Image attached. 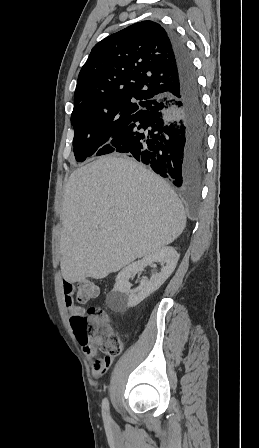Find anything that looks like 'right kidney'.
I'll return each instance as SVG.
<instances>
[{
	"instance_id": "ca27d5eb",
	"label": "right kidney",
	"mask_w": 259,
	"mask_h": 448,
	"mask_svg": "<svg viewBox=\"0 0 259 448\" xmlns=\"http://www.w3.org/2000/svg\"><path fill=\"white\" fill-rule=\"evenodd\" d=\"M178 260L179 254L175 248L165 246V248L156 250L154 254H148L143 260H138V262H133V264L123 268L116 278L113 290L107 294L106 304L108 308H111L113 312H125L127 308H134V306L140 304L142 300H145L147 296L153 294L166 282L167 278L174 272ZM153 262H160L161 272L154 274L150 280H141L138 288L130 290L132 286L129 282L130 278H133L138 272H143L144 268L150 266Z\"/></svg>"
}]
</instances>
